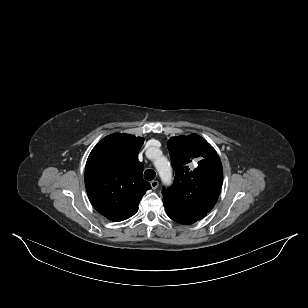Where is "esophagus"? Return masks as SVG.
Returning <instances> with one entry per match:
<instances>
[{"label": "esophagus", "mask_w": 308, "mask_h": 308, "mask_svg": "<svg viewBox=\"0 0 308 308\" xmlns=\"http://www.w3.org/2000/svg\"><path fill=\"white\" fill-rule=\"evenodd\" d=\"M150 185H151L152 189L155 190V189L158 188L159 182L157 180H153V181H151Z\"/></svg>", "instance_id": "esophagus-1"}]
</instances>
